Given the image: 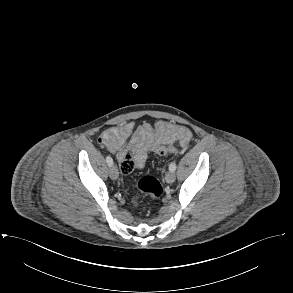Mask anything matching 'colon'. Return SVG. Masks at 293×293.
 Wrapping results in <instances>:
<instances>
[{"instance_id": "5ec220e1", "label": "colon", "mask_w": 293, "mask_h": 293, "mask_svg": "<svg viewBox=\"0 0 293 293\" xmlns=\"http://www.w3.org/2000/svg\"><path fill=\"white\" fill-rule=\"evenodd\" d=\"M154 151L158 154V155H169L175 152V146L173 143H162L159 144L155 147ZM138 189L150 196L153 200H158L163 196L164 193V187L161 184V182L151 176V175H146L143 176L139 182H138Z\"/></svg>"}]
</instances>
